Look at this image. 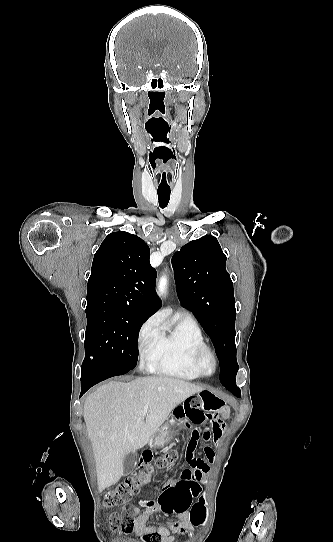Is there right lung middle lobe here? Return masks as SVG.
Wrapping results in <instances>:
<instances>
[{"label":"right lung middle lobe","mask_w":333,"mask_h":542,"mask_svg":"<svg viewBox=\"0 0 333 542\" xmlns=\"http://www.w3.org/2000/svg\"><path fill=\"white\" fill-rule=\"evenodd\" d=\"M85 360L127 373L138 360V334L151 316L114 306L86 307Z\"/></svg>","instance_id":"obj_1"}]
</instances>
